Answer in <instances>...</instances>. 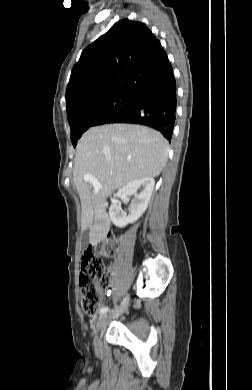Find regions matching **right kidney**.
Segmentation results:
<instances>
[{"instance_id":"right-kidney-1","label":"right kidney","mask_w":252,"mask_h":390,"mask_svg":"<svg viewBox=\"0 0 252 390\" xmlns=\"http://www.w3.org/2000/svg\"><path fill=\"white\" fill-rule=\"evenodd\" d=\"M155 185V181L151 177L140 178L129 182L124 188L117 193L118 197L134 195V200L131 202L130 214L127 216L122 212L118 202L113 203L109 208V216L113 224L123 228L130 223L137 221L146 211L148 203ZM141 188L139 194H135L136 189Z\"/></svg>"}]
</instances>
